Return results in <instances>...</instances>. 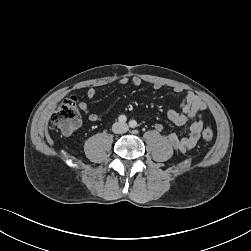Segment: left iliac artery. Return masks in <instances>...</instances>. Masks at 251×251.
Returning <instances> with one entry per match:
<instances>
[{"label": "left iliac artery", "instance_id": "44dca946", "mask_svg": "<svg viewBox=\"0 0 251 251\" xmlns=\"http://www.w3.org/2000/svg\"><path fill=\"white\" fill-rule=\"evenodd\" d=\"M129 126H130L131 128H135V127L137 126V122H136L135 120H131V121L129 122Z\"/></svg>", "mask_w": 251, "mask_h": 251}]
</instances>
